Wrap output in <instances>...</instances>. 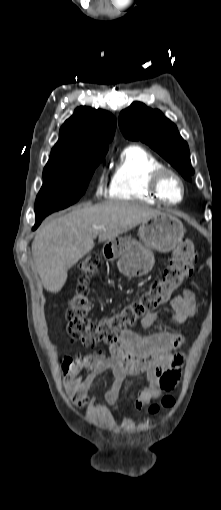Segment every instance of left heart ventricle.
<instances>
[{"mask_svg": "<svg viewBox=\"0 0 221 510\" xmlns=\"http://www.w3.org/2000/svg\"><path fill=\"white\" fill-rule=\"evenodd\" d=\"M161 192L165 199L176 202L181 198V188L173 177H166L161 185Z\"/></svg>", "mask_w": 221, "mask_h": 510, "instance_id": "left-heart-ventricle-1", "label": "left heart ventricle"}]
</instances>
